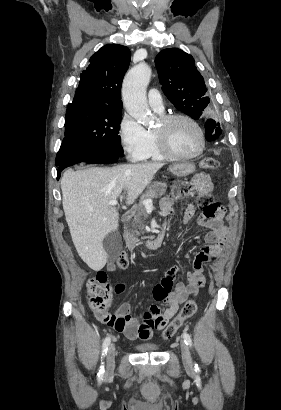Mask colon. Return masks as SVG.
Listing matches in <instances>:
<instances>
[{
	"label": "colon",
	"instance_id": "obj_1",
	"mask_svg": "<svg viewBox=\"0 0 281 410\" xmlns=\"http://www.w3.org/2000/svg\"><path fill=\"white\" fill-rule=\"evenodd\" d=\"M201 167L208 171H214L218 168V162L210 157H206L201 161ZM193 191V187L184 183L179 186L176 195H188ZM199 204L204 209V213L208 217L222 216L224 213L223 207L217 203L210 194L200 195ZM128 256L125 252L118 255L116 264L119 268H126L128 266ZM116 287H113L109 281L106 273L98 272L95 276L90 278L86 285V292L89 299V306L100 319L113 327L114 329H121L125 326V320L115 315L107 313L113 292ZM197 310V303L194 300H189L185 303L180 313L171 321L168 327L163 331V338L170 339L173 337L189 320Z\"/></svg>",
	"mask_w": 281,
	"mask_h": 410
}]
</instances>
